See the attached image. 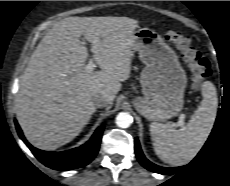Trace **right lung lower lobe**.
Returning <instances> with one entry per match:
<instances>
[{"mask_svg": "<svg viewBox=\"0 0 230 186\" xmlns=\"http://www.w3.org/2000/svg\"><path fill=\"white\" fill-rule=\"evenodd\" d=\"M15 125L20 138L32 151L35 157L47 167L55 170H71L89 164L98 152L103 132V127H99L92 138L81 147L63 152H48L39 150L30 145L24 138L17 121H15Z\"/></svg>", "mask_w": 230, "mask_h": 186, "instance_id": "1", "label": "right lung lower lobe"}]
</instances>
